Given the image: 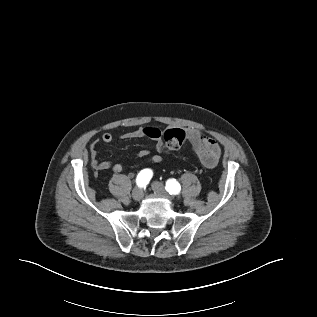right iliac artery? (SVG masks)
I'll return each instance as SVG.
<instances>
[{
    "instance_id": "82829eb1",
    "label": "right iliac artery",
    "mask_w": 317,
    "mask_h": 317,
    "mask_svg": "<svg viewBox=\"0 0 317 317\" xmlns=\"http://www.w3.org/2000/svg\"><path fill=\"white\" fill-rule=\"evenodd\" d=\"M153 176L151 169H143L137 175L136 183L138 187H145Z\"/></svg>"
}]
</instances>
